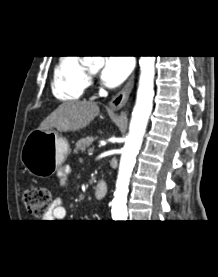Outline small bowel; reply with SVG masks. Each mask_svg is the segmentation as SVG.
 Listing matches in <instances>:
<instances>
[{
	"label": "small bowel",
	"instance_id": "c3829d8e",
	"mask_svg": "<svg viewBox=\"0 0 218 277\" xmlns=\"http://www.w3.org/2000/svg\"><path fill=\"white\" fill-rule=\"evenodd\" d=\"M70 173H71V170L68 166H63L59 169L57 173V177H58L60 186L65 185L66 179L68 178ZM66 215H67V211L62 199L57 198L54 201L51 210L46 214L44 219L46 220V222L60 221V220H64L66 218Z\"/></svg>",
	"mask_w": 218,
	"mask_h": 277
}]
</instances>
